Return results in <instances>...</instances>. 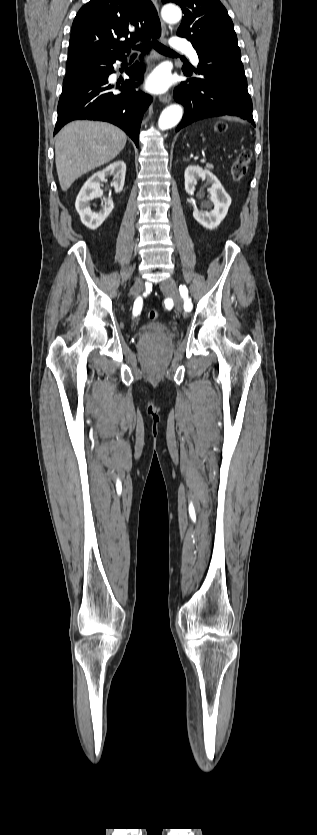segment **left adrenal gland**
<instances>
[{"mask_svg": "<svg viewBox=\"0 0 317 835\" xmlns=\"http://www.w3.org/2000/svg\"><path fill=\"white\" fill-rule=\"evenodd\" d=\"M183 160L188 161V159L184 158Z\"/></svg>", "mask_w": 317, "mask_h": 835, "instance_id": "left-adrenal-gland-1", "label": "left adrenal gland"}]
</instances>
